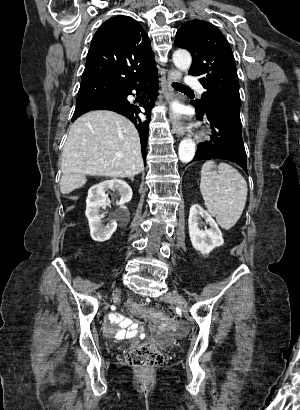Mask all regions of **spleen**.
<instances>
[{
	"mask_svg": "<svg viewBox=\"0 0 300 410\" xmlns=\"http://www.w3.org/2000/svg\"><path fill=\"white\" fill-rule=\"evenodd\" d=\"M213 161L204 163L201 170L200 191L208 212L216 217L218 224L228 230L241 217L247 199V183L231 165L220 163L212 171Z\"/></svg>",
	"mask_w": 300,
	"mask_h": 410,
	"instance_id": "1",
	"label": "spleen"
}]
</instances>
